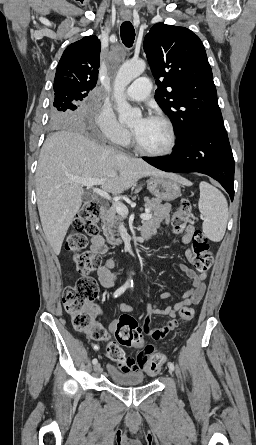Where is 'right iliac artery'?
<instances>
[{
  "instance_id": "right-iliac-artery-1",
  "label": "right iliac artery",
  "mask_w": 256,
  "mask_h": 445,
  "mask_svg": "<svg viewBox=\"0 0 256 445\" xmlns=\"http://www.w3.org/2000/svg\"><path fill=\"white\" fill-rule=\"evenodd\" d=\"M127 288H128L127 285H123V286H121L119 289H117V290L114 292V298H117V297L120 296L122 293H124L125 290H126ZM92 363H93V364H96V363H97V359L94 358V359L92 360Z\"/></svg>"
}]
</instances>
